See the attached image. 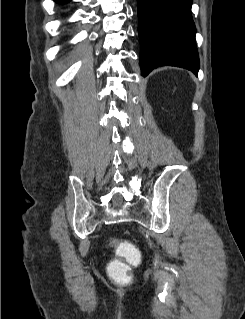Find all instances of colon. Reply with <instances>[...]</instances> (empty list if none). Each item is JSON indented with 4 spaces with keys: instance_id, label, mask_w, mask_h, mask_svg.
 Masks as SVG:
<instances>
[{
    "instance_id": "5ec220e1",
    "label": "colon",
    "mask_w": 245,
    "mask_h": 319,
    "mask_svg": "<svg viewBox=\"0 0 245 319\" xmlns=\"http://www.w3.org/2000/svg\"><path fill=\"white\" fill-rule=\"evenodd\" d=\"M113 246L120 257L126 259L130 263L138 262V253L131 243L125 240H114ZM109 271L114 277H123L127 271V267L123 264L114 263L109 266Z\"/></svg>"
}]
</instances>
